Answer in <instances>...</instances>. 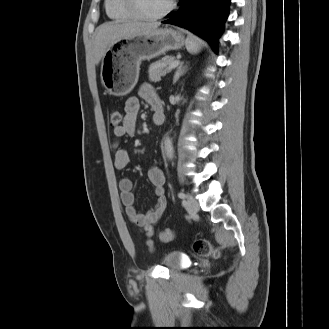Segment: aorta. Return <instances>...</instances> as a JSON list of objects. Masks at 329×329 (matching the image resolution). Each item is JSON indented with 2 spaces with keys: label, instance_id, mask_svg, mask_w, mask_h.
I'll list each match as a JSON object with an SVG mask.
<instances>
[{
  "label": "aorta",
  "instance_id": "1",
  "mask_svg": "<svg viewBox=\"0 0 329 329\" xmlns=\"http://www.w3.org/2000/svg\"><path fill=\"white\" fill-rule=\"evenodd\" d=\"M163 145L166 156L169 159H172L174 155L173 144L172 140L168 136L164 137Z\"/></svg>",
  "mask_w": 329,
  "mask_h": 329
}]
</instances>
